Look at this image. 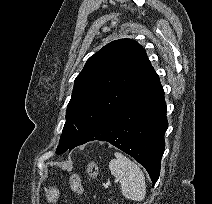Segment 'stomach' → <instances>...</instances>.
I'll list each match as a JSON object with an SVG mask.
<instances>
[{"label": "stomach", "mask_w": 212, "mask_h": 204, "mask_svg": "<svg viewBox=\"0 0 212 204\" xmlns=\"http://www.w3.org/2000/svg\"><path fill=\"white\" fill-rule=\"evenodd\" d=\"M59 196V191L52 187V188H49L47 190V198L50 200V201H56V199L58 198Z\"/></svg>", "instance_id": "stomach-1"}]
</instances>
